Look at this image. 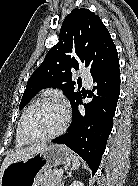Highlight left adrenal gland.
I'll return each mask as SVG.
<instances>
[{"mask_svg":"<svg viewBox=\"0 0 138 186\" xmlns=\"http://www.w3.org/2000/svg\"><path fill=\"white\" fill-rule=\"evenodd\" d=\"M71 176V171L68 173V176H66L62 182L60 183V186H63L64 185V182H65V179H67V177Z\"/></svg>","mask_w":138,"mask_h":186,"instance_id":"left-adrenal-gland-1","label":"left adrenal gland"}]
</instances>
